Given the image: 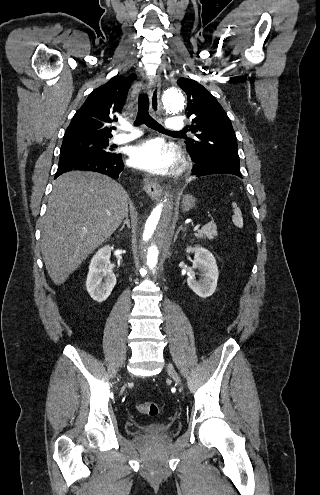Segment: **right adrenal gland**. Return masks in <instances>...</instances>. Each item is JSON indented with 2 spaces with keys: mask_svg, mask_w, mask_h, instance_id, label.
<instances>
[{
  "mask_svg": "<svg viewBox=\"0 0 320 495\" xmlns=\"http://www.w3.org/2000/svg\"><path fill=\"white\" fill-rule=\"evenodd\" d=\"M125 225H127L128 228H130V221H129V218H128V214L126 215V219L125 221L123 222L121 228L119 231H122L124 228H125Z\"/></svg>",
  "mask_w": 320,
  "mask_h": 495,
  "instance_id": "2a0ac1e0",
  "label": "right adrenal gland"
}]
</instances>
